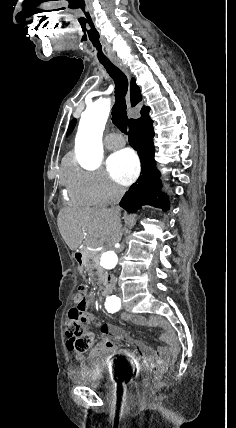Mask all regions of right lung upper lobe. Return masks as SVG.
I'll use <instances>...</instances> for the list:
<instances>
[{"label":"right lung upper lobe","instance_id":"1","mask_svg":"<svg viewBox=\"0 0 236 428\" xmlns=\"http://www.w3.org/2000/svg\"><path fill=\"white\" fill-rule=\"evenodd\" d=\"M130 94H131V105L135 106L137 105L141 99V93H140V89L139 87L135 84V79L133 78L131 83H130ZM149 113V108L143 106L142 110H141V114L142 116L147 115ZM137 119H131L130 120V125H132Z\"/></svg>","mask_w":236,"mask_h":428}]
</instances>
